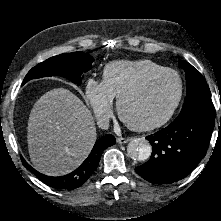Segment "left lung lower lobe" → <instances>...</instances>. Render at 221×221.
<instances>
[{"instance_id": "1", "label": "left lung lower lobe", "mask_w": 221, "mask_h": 221, "mask_svg": "<svg viewBox=\"0 0 221 221\" xmlns=\"http://www.w3.org/2000/svg\"><path fill=\"white\" fill-rule=\"evenodd\" d=\"M214 107L196 106L169 126L149 135L151 158L135 171L154 184L185 178L205 156L214 129Z\"/></svg>"}]
</instances>
